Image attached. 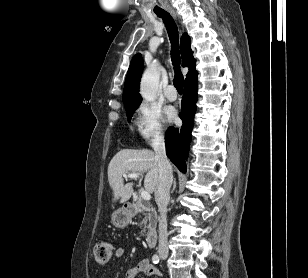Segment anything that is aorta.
Instances as JSON below:
<instances>
[{"mask_svg": "<svg viewBox=\"0 0 308 278\" xmlns=\"http://www.w3.org/2000/svg\"><path fill=\"white\" fill-rule=\"evenodd\" d=\"M159 83V73L156 64H153L143 73L140 83V95L149 102L156 99V93Z\"/></svg>", "mask_w": 308, "mask_h": 278, "instance_id": "1", "label": "aorta"}]
</instances>
